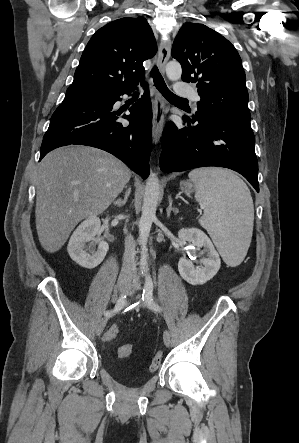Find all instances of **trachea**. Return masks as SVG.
I'll return each mask as SVG.
<instances>
[{
  "label": "trachea",
  "mask_w": 299,
  "mask_h": 443,
  "mask_svg": "<svg viewBox=\"0 0 299 443\" xmlns=\"http://www.w3.org/2000/svg\"><path fill=\"white\" fill-rule=\"evenodd\" d=\"M150 75H151V77L154 80V84H155L156 88L161 92V94L166 99H168L170 101H173V102H187V99H184V98H181V97L175 95L174 93H172L168 89V87H167V85H166L162 75L160 74L157 66L153 67Z\"/></svg>",
  "instance_id": "3493384b"
}]
</instances>
